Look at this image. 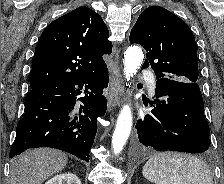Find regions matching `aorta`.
Here are the masks:
<instances>
[{"instance_id": "obj_1", "label": "aorta", "mask_w": 224, "mask_h": 184, "mask_svg": "<svg viewBox=\"0 0 224 184\" xmlns=\"http://www.w3.org/2000/svg\"><path fill=\"white\" fill-rule=\"evenodd\" d=\"M142 49L138 46H130L124 54V75L127 81L136 74L143 61ZM132 128V112L128 104L124 105L117 118L116 128L112 136V148L115 154L122 151Z\"/></svg>"}]
</instances>
